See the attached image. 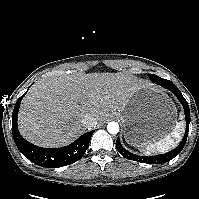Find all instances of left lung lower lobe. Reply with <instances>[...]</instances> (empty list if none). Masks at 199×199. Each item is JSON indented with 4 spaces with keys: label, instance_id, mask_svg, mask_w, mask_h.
Segmentation results:
<instances>
[{
    "label": "left lung lower lobe",
    "instance_id": "1",
    "mask_svg": "<svg viewBox=\"0 0 199 199\" xmlns=\"http://www.w3.org/2000/svg\"><path fill=\"white\" fill-rule=\"evenodd\" d=\"M158 84L163 86L164 88L172 91L174 93V95L179 99V101L182 103V105L184 107L185 116H186V122H187V128H186V132H185L184 138L181 141V143L178 145V147L175 148L174 150H172V151H170V152H168L166 154H163V155H157V156H151V157H142V156H138V155H135V154L127 151L126 149H124L122 147V145H121V143L119 141V138H118L117 141H116L117 150L125 158L132 159V160H135V161H139L141 163H149V164L165 163V162L170 161L174 157H176L181 152V150L183 149V147H184V145L186 143L188 132H189V122H190V111H189L188 103L185 100V98L182 96L180 90L171 81L160 82Z\"/></svg>",
    "mask_w": 199,
    "mask_h": 199
}]
</instances>
